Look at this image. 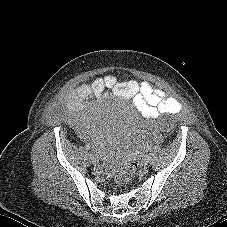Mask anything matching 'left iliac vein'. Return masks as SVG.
Returning <instances> with one entry per match:
<instances>
[{
    "label": "left iliac vein",
    "instance_id": "1",
    "mask_svg": "<svg viewBox=\"0 0 227 227\" xmlns=\"http://www.w3.org/2000/svg\"><path fill=\"white\" fill-rule=\"evenodd\" d=\"M150 161H151L150 155H149V154H145V155L143 156V158H142V163H143L144 165H147L148 163H150Z\"/></svg>",
    "mask_w": 227,
    "mask_h": 227
}]
</instances>
